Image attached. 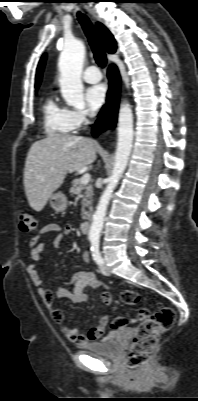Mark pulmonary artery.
Returning <instances> with one entry per match:
<instances>
[{
	"label": "pulmonary artery",
	"mask_w": 198,
	"mask_h": 401,
	"mask_svg": "<svg viewBox=\"0 0 198 401\" xmlns=\"http://www.w3.org/2000/svg\"><path fill=\"white\" fill-rule=\"evenodd\" d=\"M82 77L87 83H96L102 79V74L96 66H90L84 71Z\"/></svg>",
	"instance_id": "e3ab8cb5"
}]
</instances>
